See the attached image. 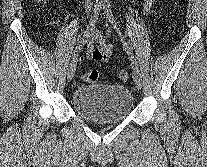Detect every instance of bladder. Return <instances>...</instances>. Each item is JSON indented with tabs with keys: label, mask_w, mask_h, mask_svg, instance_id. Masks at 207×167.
I'll return each instance as SVG.
<instances>
[{
	"label": "bladder",
	"mask_w": 207,
	"mask_h": 167,
	"mask_svg": "<svg viewBox=\"0 0 207 167\" xmlns=\"http://www.w3.org/2000/svg\"><path fill=\"white\" fill-rule=\"evenodd\" d=\"M75 111L87 120L97 123L119 122L133 108V96L123 85H84L72 97Z\"/></svg>",
	"instance_id": "bladder-1"
}]
</instances>
